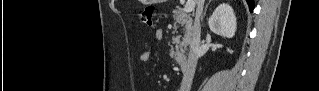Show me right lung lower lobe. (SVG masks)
Returning a JSON list of instances; mask_svg holds the SVG:
<instances>
[{
    "label": "right lung lower lobe",
    "mask_w": 319,
    "mask_h": 91,
    "mask_svg": "<svg viewBox=\"0 0 319 91\" xmlns=\"http://www.w3.org/2000/svg\"><path fill=\"white\" fill-rule=\"evenodd\" d=\"M246 2L249 6L250 11L252 12L254 9V0H246Z\"/></svg>",
    "instance_id": "right-lung-lower-lobe-1"
}]
</instances>
